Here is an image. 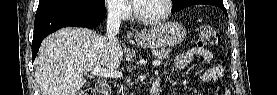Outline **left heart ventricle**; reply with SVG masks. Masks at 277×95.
Returning <instances> with one entry per match:
<instances>
[{
  "instance_id": "b2bd125f",
  "label": "left heart ventricle",
  "mask_w": 277,
  "mask_h": 95,
  "mask_svg": "<svg viewBox=\"0 0 277 95\" xmlns=\"http://www.w3.org/2000/svg\"><path fill=\"white\" fill-rule=\"evenodd\" d=\"M137 9L146 18L158 17L165 11L163 0H141L137 2Z\"/></svg>"
}]
</instances>
